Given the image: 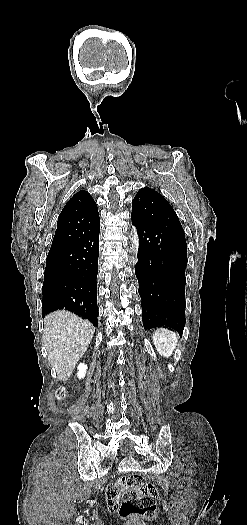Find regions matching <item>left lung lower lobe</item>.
Segmentation results:
<instances>
[{"label": "left lung lower lobe", "instance_id": "left-lung-lower-lobe-1", "mask_svg": "<svg viewBox=\"0 0 247 525\" xmlns=\"http://www.w3.org/2000/svg\"><path fill=\"white\" fill-rule=\"evenodd\" d=\"M139 235L135 274L145 329L185 326L186 241L156 224L132 219Z\"/></svg>", "mask_w": 247, "mask_h": 525}]
</instances>
